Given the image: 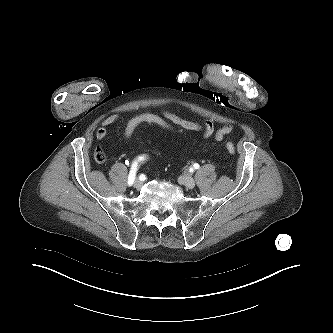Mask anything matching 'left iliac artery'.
Wrapping results in <instances>:
<instances>
[{"instance_id":"1","label":"left iliac artery","mask_w":333,"mask_h":333,"mask_svg":"<svg viewBox=\"0 0 333 333\" xmlns=\"http://www.w3.org/2000/svg\"><path fill=\"white\" fill-rule=\"evenodd\" d=\"M193 169H199V164L197 163L193 164Z\"/></svg>"}]
</instances>
